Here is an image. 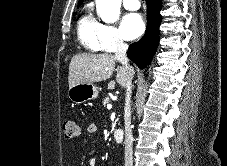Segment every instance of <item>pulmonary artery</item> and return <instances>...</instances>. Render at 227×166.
<instances>
[{"mask_svg": "<svg viewBox=\"0 0 227 166\" xmlns=\"http://www.w3.org/2000/svg\"><path fill=\"white\" fill-rule=\"evenodd\" d=\"M123 6L127 10H138L140 8L139 0H123Z\"/></svg>", "mask_w": 227, "mask_h": 166, "instance_id": "1", "label": "pulmonary artery"}]
</instances>
